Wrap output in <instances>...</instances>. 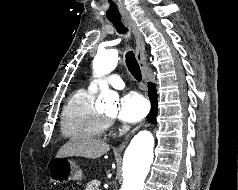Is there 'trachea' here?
I'll return each instance as SVG.
<instances>
[{"mask_svg":"<svg viewBox=\"0 0 238 190\" xmlns=\"http://www.w3.org/2000/svg\"><path fill=\"white\" fill-rule=\"evenodd\" d=\"M110 21L113 23L116 31L119 34H126L128 32V29L124 26L120 18H113L110 19ZM125 58H126V65L130 73L136 80L141 81V70L134 53L132 51L127 52Z\"/></svg>","mask_w":238,"mask_h":190,"instance_id":"trachea-1","label":"trachea"}]
</instances>
